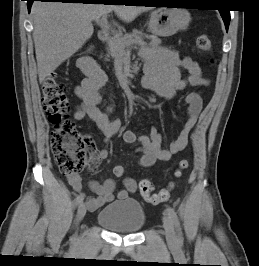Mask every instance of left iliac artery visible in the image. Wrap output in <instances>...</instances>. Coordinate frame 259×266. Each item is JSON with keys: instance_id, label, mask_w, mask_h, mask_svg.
Returning <instances> with one entry per match:
<instances>
[{"instance_id": "obj_1", "label": "left iliac artery", "mask_w": 259, "mask_h": 266, "mask_svg": "<svg viewBox=\"0 0 259 266\" xmlns=\"http://www.w3.org/2000/svg\"><path fill=\"white\" fill-rule=\"evenodd\" d=\"M166 212L169 216V218L171 219V221L173 222V224L176 227L177 230V242L179 245H182L183 243V237H182V230L180 227V222L178 220V216L176 214V212L174 211V209H172L171 207H167Z\"/></svg>"}]
</instances>
